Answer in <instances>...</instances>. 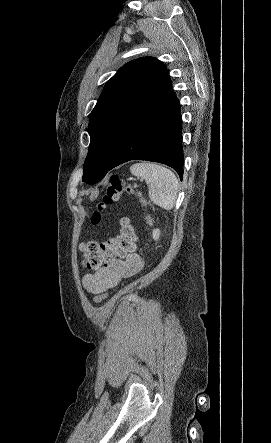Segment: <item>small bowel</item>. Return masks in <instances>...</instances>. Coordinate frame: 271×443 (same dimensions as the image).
<instances>
[{"instance_id":"c3829d8e","label":"small bowel","mask_w":271,"mask_h":443,"mask_svg":"<svg viewBox=\"0 0 271 443\" xmlns=\"http://www.w3.org/2000/svg\"><path fill=\"white\" fill-rule=\"evenodd\" d=\"M143 267L141 256L135 252L109 260L95 273L86 274L83 287L90 293L99 294L117 286L122 280L138 273Z\"/></svg>"}]
</instances>
